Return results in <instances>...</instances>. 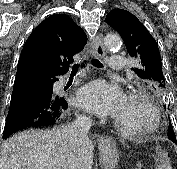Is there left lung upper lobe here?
I'll list each match as a JSON object with an SVG mask.
<instances>
[{"label": "left lung upper lobe", "instance_id": "1", "mask_svg": "<svg viewBox=\"0 0 177 169\" xmlns=\"http://www.w3.org/2000/svg\"><path fill=\"white\" fill-rule=\"evenodd\" d=\"M105 22L118 31L130 56L139 61L140 67L132 70L157 95L164 96L166 84L158 44L146 27L133 14L123 9L110 11ZM171 135L175 136V133L170 123L167 136Z\"/></svg>", "mask_w": 177, "mask_h": 169}]
</instances>
